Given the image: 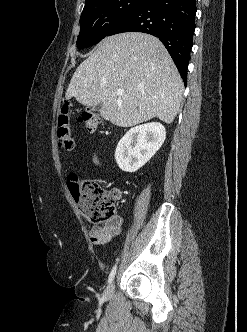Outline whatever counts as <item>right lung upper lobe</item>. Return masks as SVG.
I'll return each mask as SVG.
<instances>
[{
    "mask_svg": "<svg viewBox=\"0 0 247 332\" xmlns=\"http://www.w3.org/2000/svg\"><path fill=\"white\" fill-rule=\"evenodd\" d=\"M98 1H100V0H86L84 8H87L88 6L94 4V3L98 2Z\"/></svg>",
    "mask_w": 247,
    "mask_h": 332,
    "instance_id": "obj_1",
    "label": "right lung upper lobe"
}]
</instances>
